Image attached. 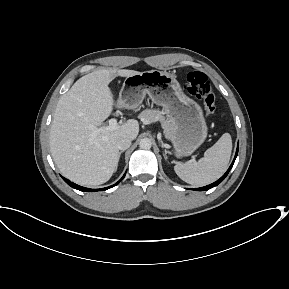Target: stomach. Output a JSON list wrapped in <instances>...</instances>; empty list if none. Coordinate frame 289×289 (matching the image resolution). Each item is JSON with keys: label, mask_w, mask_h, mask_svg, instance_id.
Wrapping results in <instances>:
<instances>
[{"label": "stomach", "mask_w": 289, "mask_h": 289, "mask_svg": "<svg viewBox=\"0 0 289 289\" xmlns=\"http://www.w3.org/2000/svg\"><path fill=\"white\" fill-rule=\"evenodd\" d=\"M148 95L152 102L162 106L173 130L170 140L178 157L191 155L207 137L201 106L186 96L172 72L151 70L126 77L117 105L137 108Z\"/></svg>", "instance_id": "1"}]
</instances>
